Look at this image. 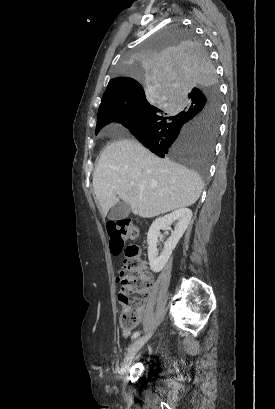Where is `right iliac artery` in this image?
<instances>
[{
  "label": "right iliac artery",
  "instance_id": "1",
  "mask_svg": "<svg viewBox=\"0 0 275 409\" xmlns=\"http://www.w3.org/2000/svg\"><path fill=\"white\" fill-rule=\"evenodd\" d=\"M139 335H140V332H139V331H136V332L133 333L131 339L134 340V339H136L137 337H139Z\"/></svg>",
  "mask_w": 275,
  "mask_h": 409
}]
</instances>
